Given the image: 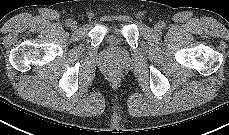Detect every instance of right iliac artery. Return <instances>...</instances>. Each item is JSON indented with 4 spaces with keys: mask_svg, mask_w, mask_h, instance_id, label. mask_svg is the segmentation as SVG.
I'll return each mask as SVG.
<instances>
[{
    "mask_svg": "<svg viewBox=\"0 0 229 135\" xmlns=\"http://www.w3.org/2000/svg\"><path fill=\"white\" fill-rule=\"evenodd\" d=\"M70 23H71V19H68V20L66 21V24H67L68 26H70Z\"/></svg>",
    "mask_w": 229,
    "mask_h": 135,
    "instance_id": "1",
    "label": "right iliac artery"
}]
</instances>
